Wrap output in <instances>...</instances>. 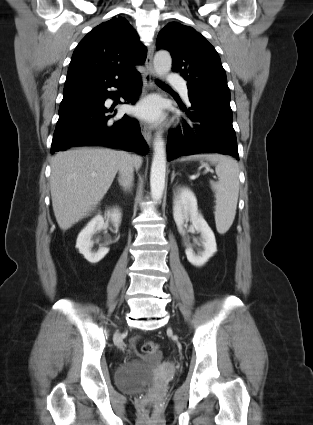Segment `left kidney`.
<instances>
[{
  "label": "left kidney",
  "instance_id": "1",
  "mask_svg": "<svg viewBox=\"0 0 313 425\" xmlns=\"http://www.w3.org/2000/svg\"><path fill=\"white\" fill-rule=\"evenodd\" d=\"M173 204V217L179 233L185 234L183 224L186 220H190L194 229L201 234L204 250L197 254L191 246H187L185 250L188 261L194 266L200 267L217 251L214 233L199 213L196 196L190 189L178 188Z\"/></svg>",
  "mask_w": 313,
  "mask_h": 425
}]
</instances>
